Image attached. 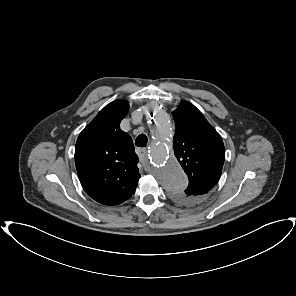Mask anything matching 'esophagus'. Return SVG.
<instances>
[{
	"instance_id": "34e87169",
	"label": "esophagus",
	"mask_w": 296,
	"mask_h": 296,
	"mask_svg": "<svg viewBox=\"0 0 296 296\" xmlns=\"http://www.w3.org/2000/svg\"><path fill=\"white\" fill-rule=\"evenodd\" d=\"M136 152L139 156L140 161L143 162L147 156V152H148L147 149L146 148H138L136 150Z\"/></svg>"
}]
</instances>
